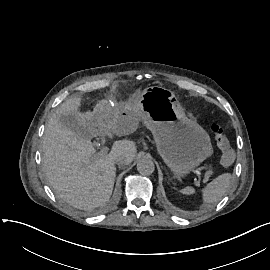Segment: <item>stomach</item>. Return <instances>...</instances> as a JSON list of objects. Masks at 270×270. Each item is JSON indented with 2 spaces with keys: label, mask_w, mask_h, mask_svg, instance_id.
<instances>
[{
  "label": "stomach",
  "mask_w": 270,
  "mask_h": 270,
  "mask_svg": "<svg viewBox=\"0 0 270 270\" xmlns=\"http://www.w3.org/2000/svg\"><path fill=\"white\" fill-rule=\"evenodd\" d=\"M143 114L142 120L152 132L158 154L181 181L213 155L209 134L185 115L173 93L159 86L146 87L138 99L117 107L118 116Z\"/></svg>",
  "instance_id": "0dacf381"
}]
</instances>
